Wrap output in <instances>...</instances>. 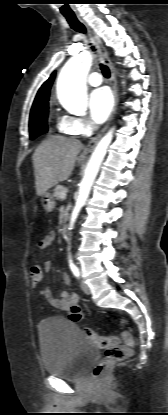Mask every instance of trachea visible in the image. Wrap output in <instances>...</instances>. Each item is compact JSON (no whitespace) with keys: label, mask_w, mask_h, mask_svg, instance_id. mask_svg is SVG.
Returning <instances> with one entry per match:
<instances>
[{"label":"trachea","mask_w":168,"mask_h":415,"mask_svg":"<svg viewBox=\"0 0 168 415\" xmlns=\"http://www.w3.org/2000/svg\"><path fill=\"white\" fill-rule=\"evenodd\" d=\"M66 20L68 21L69 25L71 26L72 29H74L77 32L86 33V28L84 27V25L77 19V17L75 15H64ZM93 50L95 51L94 47H92ZM100 68L102 70L103 75L106 78L110 77V70L106 65L100 64Z\"/></svg>","instance_id":"3493384b"}]
</instances>
